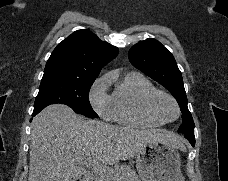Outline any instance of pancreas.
Instances as JSON below:
<instances>
[{
    "instance_id": "obj_1",
    "label": "pancreas",
    "mask_w": 228,
    "mask_h": 181,
    "mask_svg": "<svg viewBox=\"0 0 228 181\" xmlns=\"http://www.w3.org/2000/svg\"><path fill=\"white\" fill-rule=\"evenodd\" d=\"M112 175H117V177L115 179H104V177H112ZM112 175H104V177L97 175L96 181H140L139 175L133 171L130 165H122L119 169H113Z\"/></svg>"
}]
</instances>
